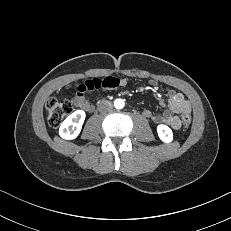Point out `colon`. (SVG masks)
Listing matches in <instances>:
<instances>
[{
    "label": "colon",
    "instance_id": "5ec220e1",
    "mask_svg": "<svg viewBox=\"0 0 231 231\" xmlns=\"http://www.w3.org/2000/svg\"><path fill=\"white\" fill-rule=\"evenodd\" d=\"M73 110V104L69 100H58L50 98L46 102L47 120L51 127H58L64 118ZM182 124L188 128L191 123L190 114L182 115Z\"/></svg>",
    "mask_w": 231,
    "mask_h": 231
}]
</instances>
